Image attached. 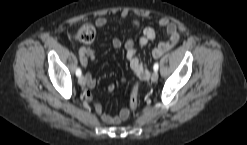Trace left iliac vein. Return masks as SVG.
<instances>
[{
	"mask_svg": "<svg viewBox=\"0 0 247 145\" xmlns=\"http://www.w3.org/2000/svg\"><path fill=\"white\" fill-rule=\"evenodd\" d=\"M158 77H159L158 72L154 71L151 75V81L156 82L158 80Z\"/></svg>",
	"mask_w": 247,
	"mask_h": 145,
	"instance_id": "4c4485c4",
	"label": "left iliac vein"
}]
</instances>
